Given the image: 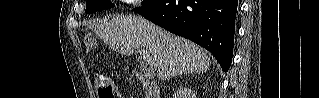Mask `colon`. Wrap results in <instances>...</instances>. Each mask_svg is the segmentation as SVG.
Listing matches in <instances>:
<instances>
[{"instance_id":"1","label":"colon","mask_w":319,"mask_h":98,"mask_svg":"<svg viewBox=\"0 0 319 98\" xmlns=\"http://www.w3.org/2000/svg\"><path fill=\"white\" fill-rule=\"evenodd\" d=\"M81 37L85 49L87 51H94L96 43L92 33L89 30H83ZM94 81L99 98H118V93L109 77L105 75H96Z\"/></svg>"}]
</instances>
